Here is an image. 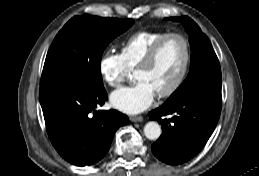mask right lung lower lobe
<instances>
[{"mask_svg":"<svg viewBox=\"0 0 259 176\" xmlns=\"http://www.w3.org/2000/svg\"><path fill=\"white\" fill-rule=\"evenodd\" d=\"M39 100L54 148L76 166L101 160L116 130L129 122L126 115L116 110H95L107 100L104 87L76 84L40 87Z\"/></svg>","mask_w":259,"mask_h":176,"instance_id":"right-lung-lower-lobe-1","label":"right lung lower lobe"}]
</instances>
